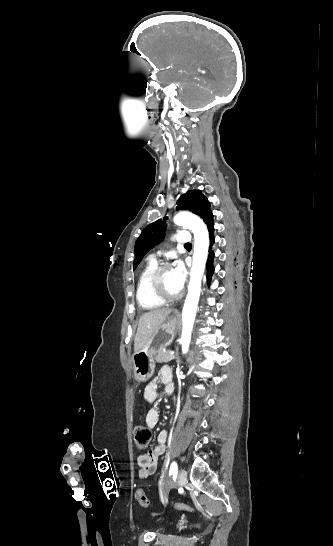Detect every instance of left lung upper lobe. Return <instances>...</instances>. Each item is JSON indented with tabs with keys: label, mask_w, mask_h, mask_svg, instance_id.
I'll return each instance as SVG.
<instances>
[{
	"label": "left lung upper lobe",
	"mask_w": 333,
	"mask_h": 546,
	"mask_svg": "<svg viewBox=\"0 0 333 546\" xmlns=\"http://www.w3.org/2000/svg\"><path fill=\"white\" fill-rule=\"evenodd\" d=\"M176 209L188 210L202 218L204 223L213 216L210 203L200 190L187 191L183 194L177 201ZM165 220L167 217L149 224L136 240L133 269L138 266L144 255L163 239L166 229Z\"/></svg>",
	"instance_id": "obj_1"
}]
</instances>
